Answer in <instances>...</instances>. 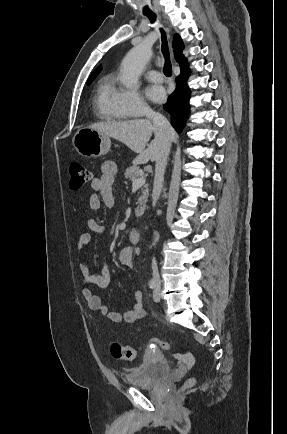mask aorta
I'll list each match as a JSON object with an SVG mask.
<instances>
[{"label": "aorta", "mask_w": 287, "mask_h": 434, "mask_svg": "<svg viewBox=\"0 0 287 434\" xmlns=\"http://www.w3.org/2000/svg\"><path fill=\"white\" fill-rule=\"evenodd\" d=\"M152 56V51L145 45H137L124 57L121 64V81L127 88L137 84L138 78Z\"/></svg>", "instance_id": "obj_1"}]
</instances>
